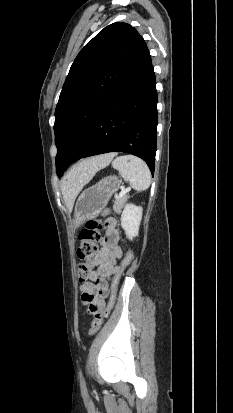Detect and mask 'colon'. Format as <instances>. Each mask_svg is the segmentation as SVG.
<instances>
[{
    "label": "colon",
    "instance_id": "5ec220e1",
    "mask_svg": "<svg viewBox=\"0 0 233 413\" xmlns=\"http://www.w3.org/2000/svg\"><path fill=\"white\" fill-rule=\"evenodd\" d=\"M102 228L103 224L101 220L89 219L86 221L85 226L79 233L80 246L77 249V256L84 261L78 266V275L81 281L89 280L93 275V263L97 254L98 243L101 240ZM132 258V252H128L124 257L120 265L118 277L113 283L112 292L108 302L105 303L104 306H100L99 308H92L90 304H88L90 310L94 311V318L88 331L89 335H94L100 330L105 318L111 312L116 301L119 279L128 265L131 263Z\"/></svg>",
    "mask_w": 233,
    "mask_h": 413
}]
</instances>
